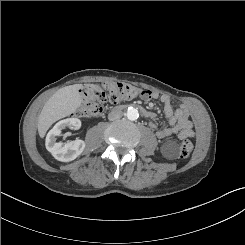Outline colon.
Here are the masks:
<instances>
[{"label": "colon", "instance_id": "obj_1", "mask_svg": "<svg viewBox=\"0 0 245 245\" xmlns=\"http://www.w3.org/2000/svg\"><path fill=\"white\" fill-rule=\"evenodd\" d=\"M146 91L122 82L89 84L83 89V101L77 111L81 117H93L103 112L105 103L117 104L121 101L145 95ZM193 151L190 141H183L179 146V156L188 157Z\"/></svg>", "mask_w": 245, "mask_h": 245}]
</instances>
